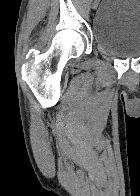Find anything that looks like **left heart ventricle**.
<instances>
[{"instance_id": "obj_1", "label": "left heart ventricle", "mask_w": 140, "mask_h": 196, "mask_svg": "<svg viewBox=\"0 0 140 196\" xmlns=\"http://www.w3.org/2000/svg\"><path fill=\"white\" fill-rule=\"evenodd\" d=\"M104 192H122V191H104Z\"/></svg>"}]
</instances>
